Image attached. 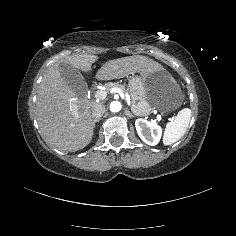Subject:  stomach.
<instances>
[{
  "label": "stomach",
  "mask_w": 236,
  "mask_h": 236,
  "mask_svg": "<svg viewBox=\"0 0 236 236\" xmlns=\"http://www.w3.org/2000/svg\"><path fill=\"white\" fill-rule=\"evenodd\" d=\"M131 110L136 116H148L152 110L171 112L181 106L184 94L176 80L164 69L129 79Z\"/></svg>",
  "instance_id": "1"
}]
</instances>
